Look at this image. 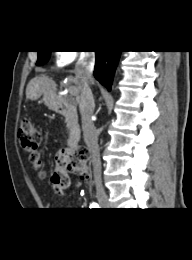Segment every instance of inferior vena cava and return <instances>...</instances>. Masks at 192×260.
Wrapping results in <instances>:
<instances>
[{
  "mask_svg": "<svg viewBox=\"0 0 192 260\" xmlns=\"http://www.w3.org/2000/svg\"><path fill=\"white\" fill-rule=\"evenodd\" d=\"M94 63L95 53L93 51L85 52L76 63L75 70L80 83L79 108L84 140L91 154L95 185L101 187V161L98 146V134L91 119L95 107L93 94L90 89Z\"/></svg>",
  "mask_w": 192,
  "mask_h": 260,
  "instance_id": "602c4592",
  "label": "inferior vena cava"
}]
</instances>
